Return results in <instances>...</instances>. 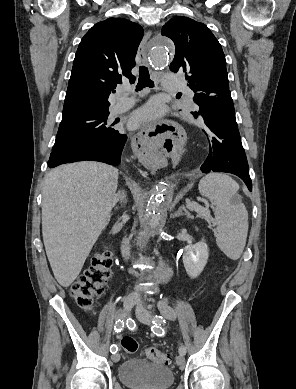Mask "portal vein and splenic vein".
<instances>
[{"label":"portal vein and splenic vein","instance_id":"1","mask_svg":"<svg viewBox=\"0 0 296 389\" xmlns=\"http://www.w3.org/2000/svg\"><path fill=\"white\" fill-rule=\"evenodd\" d=\"M186 203H187V208L188 209H190V210H200V206L196 202H192L189 199H187ZM202 215L205 216V217H208L209 216V211L208 210L202 211Z\"/></svg>","mask_w":296,"mask_h":389}]
</instances>
